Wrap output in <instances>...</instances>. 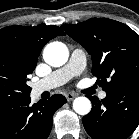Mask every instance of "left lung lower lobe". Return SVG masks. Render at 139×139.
Instances as JSON below:
<instances>
[{
	"label": "left lung lower lobe",
	"instance_id": "left-lung-lower-lobe-1",
	"mask_svg": "<svg viewBox=\"0 0 139 139\" xmlns=\"http://www.w3.org/2000/svg\"><path fill=\"white\" fill-rule=\"evenodd\" d=\"M91 112L83 125L93 139H126L139 125V83L107 94L101 101L88 96Z\"/></svg>",
	"mask_w": 139,
	"mask_h": 139
}]
</instances>
